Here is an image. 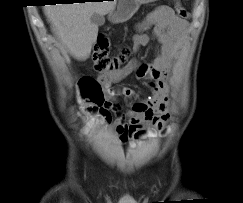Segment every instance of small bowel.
<instances>
[{
	"label": "small bowel",
	"instance_id": "c3829d8e",
	"mask_svg": "<svg viewBox=\"0 0 243 203\" xmlns=\"http://www.w3.org/2000/svg\"><path fill=\"white\" fill-rule=\"evenodd\" d=\"M188 26V22L177 17L171 8L163 6L155 9L137 26V32L132 42L135 50L148 45L149 37L145 30L153 27L159 43L154 59L150 63H139L132 60L119 71L99 74L98 80L104 88L105 95L99 115L108 121L111 113L115 114L114 129L121 142L127 141L132 136L135 138L148 137L153 132V128H149V126L158 130L165 128L169 120L168 79ZM131 74L146 81L153 95L132 103L130 109L124 112L114 102L115 98L122 96L133 99L136 94L129 87L114 85Z\"/></svg>",
	"mask_w": 243,
	"mask_h": 203
}]
</instances>
